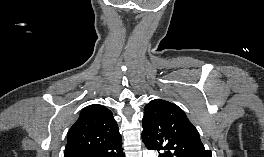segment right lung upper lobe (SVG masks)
<instances>
[{
  "mask_svg": "<svg viewBox=\"0 0 264 157\" xmlns=\"http://www.w3.org/2000/svg\"><path fill=\"white\" fill-rule=\"evenodd\" d=\"M67 138L64 157H101L122 145L112 112L98 104L81 111Z\"/></svg>",
  "mask_w": 264,
  "mask_h": 157,
  "instance_id": "obj_1",
  "label": "right lung upper lobe"
}]
</instances>
